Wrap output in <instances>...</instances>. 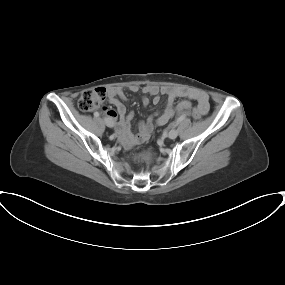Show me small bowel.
Segmentation results:
<instances>
[{"mask_svg":"<svg viewBox=\"0 0 285 285\" xmlns=\"http://www.w3.org/2000/svg\"><path fill=\"white\" fill-rule=\"evenodd\" d=\"M130 90L132 92H137L139 88L136 85H132L130 86ZM142 92L153 96L154 104L159 103V94L162 93L167 97V104L163 113L156 118L155 123L153 122V118L149 117L146 121L139 123V131L136 135H133L131 132V120L133 118V113L128 112L123 103V101L127 100L124 90L121 87H110L106 89L108 102L113 105L116 110L105 109V114L111 120H117V118H119L117 134L126 147H132L148 140L155 124L159 126L165 125L175 115V113H181L189 110L191 108L190 100H195L197 102V106L203 114H206L209 111V98L203 92L186 93L185 96L190 100H182L176 106H174V102L176 98L182 94L175 89L168 87L159 88L156 85H146L142 88ZM142 102L147 106L149 104V99L144 97Z\"/></svg>","mask_w":285,"mask_h":285,"instance_id":"c3829d8e","label":"small bowel"}]
</instances>
